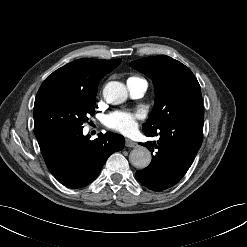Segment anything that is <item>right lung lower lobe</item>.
<instances>
[{
    "instance_id": "obj_1",
    "label": "right lung lower lobe",
    "mask_w": 247,
    "mask_h": 247,
    "mask_svg": "<svg viewBox=\"0 0 247 247\" xmlns=\"http://www.w3.org/2000/svg\"><path fill=\"white\" fill-rule=\"evenodd\" d=\"M34 133L49 171L69 188L92 182L108 157L125 145L123 136L111 132L93 141L82 130L39 128Z\"/></svg>"
}]
</instances>
